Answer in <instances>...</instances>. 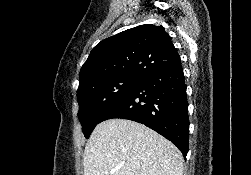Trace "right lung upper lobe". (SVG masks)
Wrapping results in <instances>:
<instances>
[{
    "mask_svg": "<svg viewBox=\"0 0 251 175\" xmlns=\"http://www.w3.org/2000/svg\"><path fill=\"white\" fill-rule=\"evenodd\" d=\"M180 62L163 26L140 25L106 38L93 48L81 68L79 88L121 76L142 79Z\"/></svg>",
    "mask_w": 251,
    "mask_h": 175,
    "instance_id": "right-lung-upper-lobe-1",
    "label": "right lung upper lobe"
}]
</instances>
